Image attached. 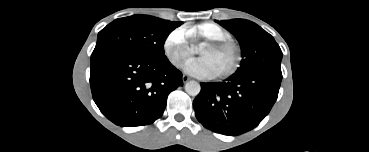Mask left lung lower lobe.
Wrapping results in <instances>:
<instances>
[{
	"instance_id": "obj_1",
	"label": "left lung lower lobe",
	"mask_w": 369,
	"mask_h": 152,
	"mask_svg": "<svg viewBox=\"0 0 369 152\" xmlns=\"http://www.w3.org/2000/svg\"><path fill=\"white\" fill-rule=\"evenodd\" d=\"M282 74L231 75L222 82L201 83L193 102L198 121L216 133L235 136L255 128L274 105Z\"/></svg>"
}]
</instances>
